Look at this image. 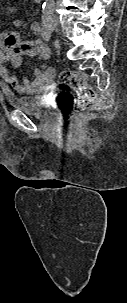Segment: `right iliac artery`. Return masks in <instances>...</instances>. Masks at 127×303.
<instances>
[{
	"mask_svg": "<svg viewBox=\"0 0 127 303\" xmlns=\"http://www.w3.org/2000/svg\"><path fill=\"white\" fill-rule=\"evenodd\" d=\"M49 19H50V14H46V15H43L42 16V26H43V38L46 40V41H49L50 38H51V33H52V30H51V27H50V24H49Z\"/></svg>",
	"mask_w": 127,
	"mask_h": 303,
	"instance_id": "82829eb1",
	"label": "right iliac artery"
}]
</instances>
